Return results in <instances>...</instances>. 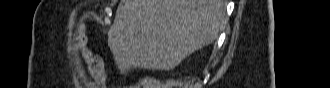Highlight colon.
Masks as SVG:
<instances>
[{"instance_id":"colon-1","label":"colon","mask_w":330,"mask_h":88,"mask_svg":"<svg viewBox=\"0 0 330 88\" xmlns=\"http://www.w3.org/2000/svg\"><path fill=\"white\" fill-rule=\"evenodd\" d=\"M75 42L77 47H79L85 55L90 74L98 83H102L104 81V73L100 58L95 53L89 51L78 37H75Z\"/></svg>"}]
</instances>
